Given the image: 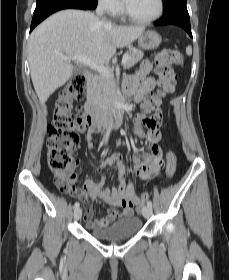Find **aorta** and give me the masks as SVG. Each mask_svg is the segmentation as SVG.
I'll return each mask as SVG.
<instances>
[{
  "mask_svg": "<svg viewBox=\"0 0 229 280\" xmlns=\"http://www.w3.org/2000/svg\"><path fill=\"white\" fill-rule=\"evenodd\" d=\"M109 127H110V128L112 127V118H111V120H110Z\"/></svg>",
  "mask_w": 229,
  "mask_h": 280,
  "instance_id": "762f6f07",
  "label": "aorta"
}]
</instances>
